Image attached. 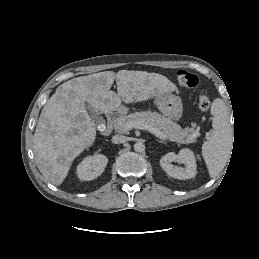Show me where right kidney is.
Here are the masks:
<instances>
[{
    "mask_svg": "<svg viewBox=\"0 0 259 259\" xmlns=\"http://www.w3.org/2000/svg\"><path fill=\"white\" fill-rule=\"evenodd\" d=\"M107 163L108 159L105 155L87 156L77 166V176L82 181L93 180L102 174Z\"/></svg>",
    "mask_w": 259,
    "mask_h": 259,
    "instance_id": "ca27d5eb",
    "label": "right kidney"
}]
</instances>
